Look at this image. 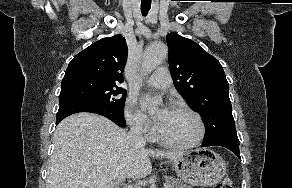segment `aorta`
Here are the masks:
<instances>
[{
    "label": "aorta",
    "instance_id": "762f6f07",
    "mask_svg": "<svg viewBox=\"0 0 292 188\" xmlns=\"http://www.w3.org/2000/svg\"><path fill=\"white\" fill-rule=\"evenodd\" d=\"M168 54V48L163 43H153L146 48L142 59V71L145 74L150 73L156 67H158L166 58ZM157 103L160 100H156Z\"/></svg>",
    "mask_w": 292,
    "mask_h": 188
}]
</instances>
